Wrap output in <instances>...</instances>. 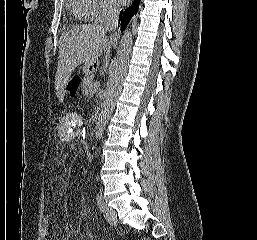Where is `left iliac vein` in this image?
Instances as JSON below:
<instances>
[{
  "label": "left iliac vein",
  "mask_w": 257,
  "mask_h": 240,
  "mask_svg": "<svg viewBox=\"0 0 257 240\" xmlns=\"http://www.w3.org/2000/svg\"><path fill=\"white\" fill-rule=\"evenodd\" d=\"M103 212H104V216H105L106 220L110 224L115 225L117 223V214H116V212L114 211L113 208L104 204Z\"/></svg>",
  "instance_id": "left-iliac-vein-1"
}]
</instances>
